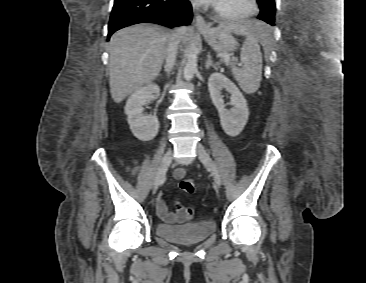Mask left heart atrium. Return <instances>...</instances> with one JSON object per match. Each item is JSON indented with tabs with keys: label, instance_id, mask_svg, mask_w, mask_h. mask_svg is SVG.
<instances>
[{
	"label": "left heart atrium",
	"instance_id": "39dd6f15",
	"mask_svg": "<svg viewBox=\"0 0 366 283\" xmlns=\"http://www.w3.org/2000/svg\"><path fill=\"white\" fill-rule=\"evenodd\" d=\"M195 1L206 4H217L219 0H195Z\"/></svg>",
	"mask_w": 366,
	"mask_h": 283
}]
</instances>
